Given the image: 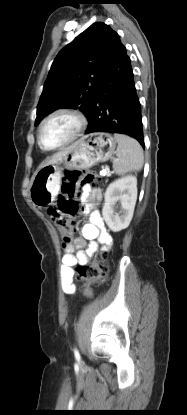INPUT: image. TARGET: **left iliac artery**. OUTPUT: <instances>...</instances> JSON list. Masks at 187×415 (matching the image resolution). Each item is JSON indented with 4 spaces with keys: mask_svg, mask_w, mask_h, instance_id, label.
<instances>
[{
    "mask_svg": "<svg viewBox=\"0 0 187 415\" xmlns=\"http://www.w3.org/2000/svg\"><path fill=\"white\" fill-rule=\"evenodd\" d=\"M74 353H75V355H77V354H78V350H77V349H75V350H74Z\"/></svg>",
    "mask_w": 187,
    "mask_h": 415,
    "instance_id": "obj_1",
    "label": "left iliac artery"
}]
</instances>
